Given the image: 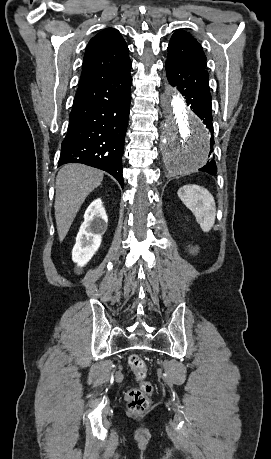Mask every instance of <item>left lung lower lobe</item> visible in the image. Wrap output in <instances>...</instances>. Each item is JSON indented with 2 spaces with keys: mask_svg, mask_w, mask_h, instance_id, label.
Masks as SVG:
<instances>
[{
  "mask_svg": "<svg viewBox=\"0 0 271 459\" xmlns=\"http://www.w3.org/2000/svg\"><path fill=\"white\" fill-rule=\"evenodd\" d=\"M166 74L169 83L177 86V89L186 97L187 105H191L193 112L203 120L210 132V153L213 152V119L212 104L209 91V74L206 69L191 68L169 61L165 63ZM199 171L207 172L211 175L217 173L214 157L211 156L207 164Z\"/></svg>",
  "mask_w": 271,
  "mask_h": 459,
  "instance_id": "left-lung-lower-lobe-1",
  "label": "left lung lower lobe"
}]
</instances>
